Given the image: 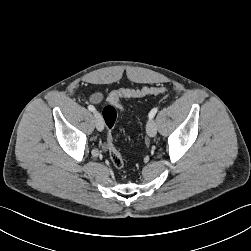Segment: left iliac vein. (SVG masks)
<instances>
[{
	"label": "left iliac vein",
	"instance_id": "4c4485c4",
	"mask_svg": "<svg viewBox=\"0 0 251 251\" xmlns=\"http://www.w3.org/2000/svg\"><path fill=\"white\" fill-rule=\"evenodd\" d=\"M146 132L150 137H154L157 134V126L153 119H149L146 125Z\"/></svg>",
	"mask_w": 251,
	"mask_h": 251
}]
</instances>
